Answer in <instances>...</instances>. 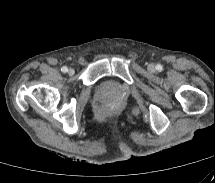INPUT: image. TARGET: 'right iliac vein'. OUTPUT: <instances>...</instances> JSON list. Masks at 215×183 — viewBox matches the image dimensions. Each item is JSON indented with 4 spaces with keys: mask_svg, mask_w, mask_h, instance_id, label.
I'll list each match as a JSON object with an SVG mask.
<instances>
[{
    "mask_svg": "<svg viewBox=\"0 0 215 183\" xmlns=\"http://www.w3.org/2000/svg\"><path fill=\"white\" fill-rule=\"evenodd\" d=\"M68 74H69L70 76H73V75L75 74V70H74V69H69V70H68Z\"/></svg>",
    "mask_w": 215,
    "mask_h": 183,
    "instance_id": "obj_1",
    "label": "right iliac vein"
}]
</instances>
